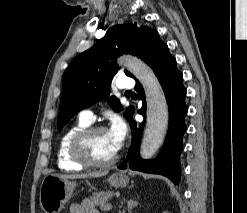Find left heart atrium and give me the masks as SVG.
I'll return each mask as SVG.
<instances>
[{"mask_svg":"<svg viewBox=\"0 0 247 213\" xmlns=\"http://www.w3.org/2000/svg\"><path fill=\"white\" fill-rule=\"evenodd\" d=\"M108 134L115 150L118 151L122 147L127 134L125 123L120 118H114L111 122Z\"/></svg>","mask_w":247,"mask_h":213,"instance_id":"1","label":"left heart atrium"}]
</instances>
